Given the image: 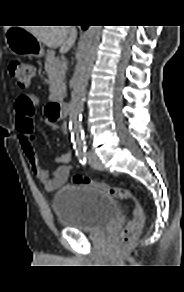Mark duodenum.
<instances>
[{"label": "duodenum", "instance_id": "410a0bca", "mask_svg": "<svg viewBox=\"0 0 184 292\" xmlns=\"http://www.w3.org/2000/svg\"><path fill=\"white\" fill-rule=\"evenodd\" d=\"M46 114L56 120L66 119L69 115V105L63 100L51 102L46 107Z\"/></svg>", "mask_w": 184, "mask_h": 292}]
</instances>
